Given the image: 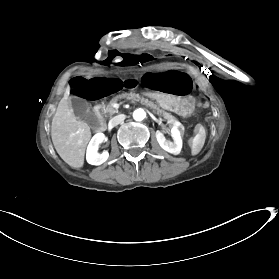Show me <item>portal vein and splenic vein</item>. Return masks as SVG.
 Here are the masks:
<instances>
[{"label":"portal vein and splenic vein","mask_w":279,"mask_h":279,"mask_svg":"<svg viewBox=\"0 0 279 279\" xmlns=\"http://www.w3.org/2000/svg\"><path fill=\"white\" fill-rule=\"evenodd\" d=\"M113 109H118V104H113Z\"/></svg>","instance_id":"obj_1"}]
</instances>
